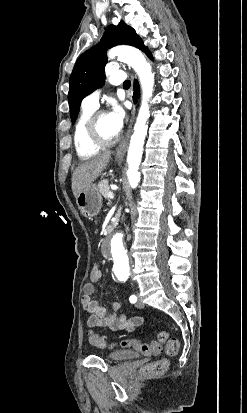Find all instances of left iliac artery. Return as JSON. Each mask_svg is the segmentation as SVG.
Listing matches in <instances>:
<instances>
[{"mask_svg":"<svg viewBox=\"0 0 247 413\" xmlns=\"http://www.w3.org/2000/svg\"><path fill=\"white\" fill-rule=\"evenodd\" d=\"M129 301L131 303H135L137 301V297L135 295H131L130 298H129Z\"/></svg>","mask_w":247,"mask_h":413,"instance_id":"44dca946","label":"left iliac artery"}]
</instances>
